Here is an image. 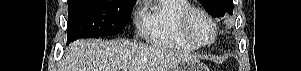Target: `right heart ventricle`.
Wrapping results in <instances>:
<instances>
[{"mask_svg":"<svg viewBox=\"0 0 301 71\" xmlns=\"http://www.w3.org/2000/svg\"><path fill=\"white\" fill-rule=\"evenodd\" d=\"M190 6L186 0H157L148 5L140 23L143 36L160 47L182 52L197 50L183 36L179 24L180 14Z\"/></svg>","mask_w":301,"mask_h":71,"instance_id":"obj_1","label":"right heart ventricle"}]
</instances>
